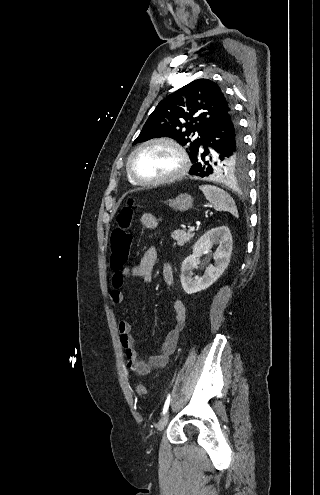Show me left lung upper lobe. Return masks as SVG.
I'll return each instance as SVG.
<instances>
[{
	"label": "left lung upper lobe",
	"instance_id": "obj_1",
	"mask_svg": "<svg viewBox=\"0 0 320 495\" xmlns=\"http://www.w3.org/2000/svg\"><path fill=\"white\" fill-rule=\"evenodd\" d=\"M232 110L220 87L209 79H197L162 100L150 114L137 144L152 138L168 135L188 145L190 158L199 151L215 123ZM197 132L200 137L189 138ZM212 175L226 178L244 172L246 159L239 132L237 149H214L206 155Z\"/></svg>",
	"mask_w": 320,
	"mask_h": 495
}]
</instances>
